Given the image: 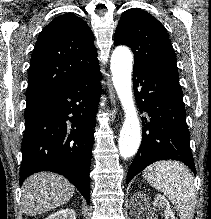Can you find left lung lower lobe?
Here are the masks:
<instances>
[{
  "mask_svg": "<svg viewBox=\"0 0 211 219\" xmlns=\"http://www.w3.org/2000/svg\"><path fill=\"white\" fill-rule=\"evenodd\" d=\"M133 87L142 118L141 146L129 168L127 184L153 162L179 160L196 175L190 149L178 71L134 65Z\"/></svg>",
  "mask_w": 211,
  "mask_h": 219,
  "instance_id": "obj_1",
  "label": "left lung lower lobe"
}]
</instances>
